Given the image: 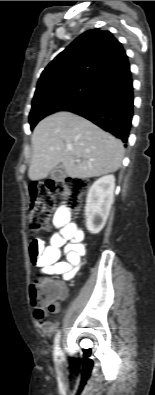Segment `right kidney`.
Listing matches in <instances>:
<instances>
[{"label":"right kidney","instance_id":"right-kidney-1","mask_svg":"<svg viewBox=\"0 0 155 395\" xmlns=\"http://www.w3.org/2000/svg\"><path fill=\"white\" fill-rule=\"evenodd\" d=\"M115 177L107 175L96 180L90 187L86 199V227L92 234L99 233L109 216L114 200Z\"/></svg>","mask_w":155,"mask_h":395}]
</instances>
